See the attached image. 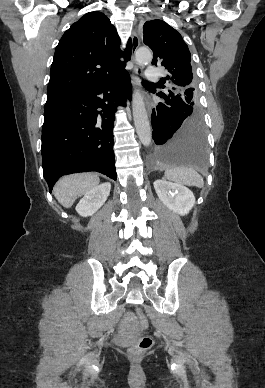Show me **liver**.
<instances>
[{
    "label": "liver",
    "instance_id": "liver-1",
    "mask_svg": "<svg viewBox=\"0 0 265 388\" xmlns=\"http://www.w3.org/2000/svg\"><path fill=\"white\" fill-rule=\"evenodd\" d=\"M100 184L97 174H71L60 178L53 188V194L63 208H71L75 200Z\"/></svg>",
    "mask_w": 265,
    "mask_h": 388
}]
</instances>
